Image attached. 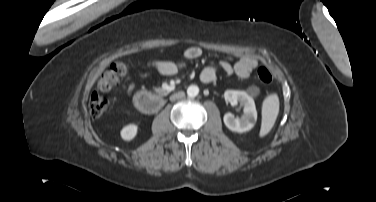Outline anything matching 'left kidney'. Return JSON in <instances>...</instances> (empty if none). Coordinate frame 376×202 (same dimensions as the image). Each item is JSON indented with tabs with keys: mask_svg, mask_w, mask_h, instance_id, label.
<instances>
[{
	"mask_svg": "<svg viewBox=\"0 0 376 202\" xmlns=\"http://www.w3.org/2000/svg\"><path fill=\"white\" fill-rule=\"evenodd\" d=\"M227 102L235 105L240 103L243 105V116L235 118L232 113H226L223 117L224 124L231 131L243 133L253 128L257 121V111L252 97L244 91L227 90L224 94Z\"/></svg>",
	"mask_w": 376,
	"mask_h": 202,
	"instance_id": "5707ae66",
	"label": "left kidney"
}]
</instances>
